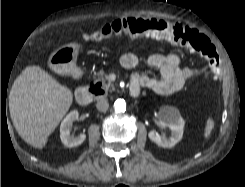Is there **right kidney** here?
<instances>
[{
    "instance_id": "1",
    "label": "right kidney",
    "mask_w": 245,
    "mask_h": 187,
    "mask_svg": "<svg viewBox=\"0 0 245 187\" xmlns=\"http://www.w3.org/2000/svg\"><path fill=\"white\" fill-rule=\"evenodd\" d=\"M79 118V113L77 110L71 111L62 121L60 126V138L64 146L72 148L81 145L85 139L86 135L84 133L73 136L71 134V129L75 120Z\"/></svg>"
}]
</instances>
